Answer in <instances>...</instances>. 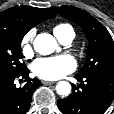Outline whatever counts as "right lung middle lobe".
I'll list each match as a JSON object with an SVG mask.
<instances>
[{
	"mask_svg": "<svg viewBox=\"0 0 114 114\" xmlns=\"http://www.w3.org/2000/svg\"><path fill=\"white\" fill-rule=\"evenodd\" d=\"M25 34L0 29V78H9L21 73L26 66L21 62V41Z\"/></svg>",
	"mask_w": 114,
	"mask_h": 114,
	"instance_id": "obj_1",
	"label": "right lung middle lobe"
}]
</instances>
